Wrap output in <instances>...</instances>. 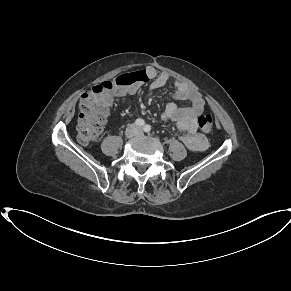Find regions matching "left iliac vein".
<instances>
[{"label":"left iliac vein","mask_w":291,"mask_h":291,"mask_svg":"<svg viewBox=\"0 0 291 291\" xmlns=\"http://www.w3.org/2000/svg\"><path fill=\"white\" fill-rule=\"evenodd\" d=\"M138 132H140V128H138Z\"/></svg>","instance_id":"obj_1"}]
</instances>
